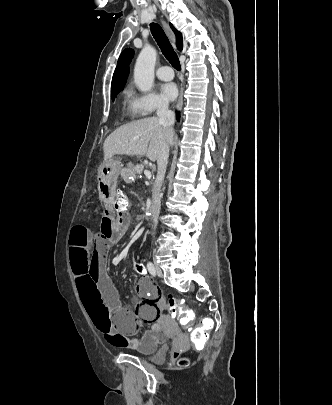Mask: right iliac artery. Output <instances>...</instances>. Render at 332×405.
<instances>
[{"instance_id":"82829eb1","label":"right iliac artery","mask_w":332,"mask_h":405,"mask_svg":"<svg viewBox=\"0 0 332 405\" xmlns=\"http://www.w3.org/2000/svg\"><path fill=\"white\" fill-rule=\"evenodd\" d=\"M147 269H148V271H149V273H150L151 275H153V276L156 275L155 267H154V265H153L151 262H149V263L147 264Z\"/></svg>"}]
</instances>
